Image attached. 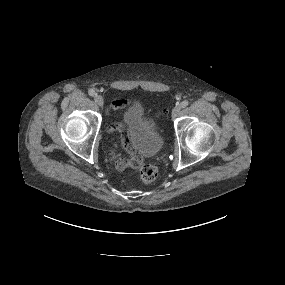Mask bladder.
<instances>
[{
	"label": "bladder",
	"mask_w": 285,
	"mask_h": 285,
	"mask_svg": "<svg viewBox=\"0 0 285 285\" xmlns=\"http://www.w3.org/2000/svg\"><path fill=\"white\" fill-rule=\"evenodd\" d=\"M122 122L126 126L133 147L144 155L155 154L162 146V137L146 120L139 103L130 105L123 113Z\"/></svg>",
	"instance_id": "1"
}]
</instances>
